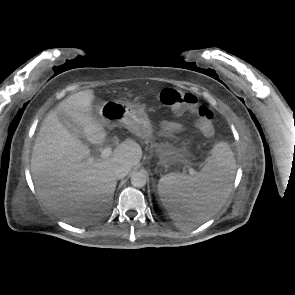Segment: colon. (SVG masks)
<instances>
[{"mask_svg":"<svg viewBox=\"0 0 295 295\" xmlns=\"http://www.w3.org/2000/svg\"><path fill=\"white\" fill-rule=\"evenodd\" d=\"M159 99L177 115L194 113L197 118L198 130L206 136L213 134V112L206 106H198L197 99L193 94L166 88L161 91Z\"/></svg>","mask_w":295,"mask_h":295,"instance_id":"obj_1","label":"colon"}]
</instances>
